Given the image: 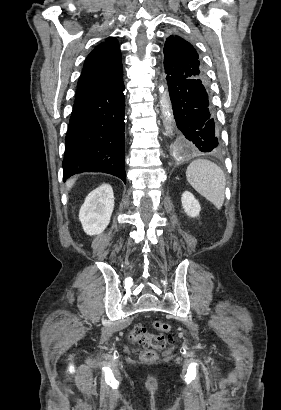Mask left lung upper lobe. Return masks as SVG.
Returning a JSON list of instances; mask_svg holds the SVG:
<instances>
[{
  "mask_svg": "<svg viewBox=\"0 0 281 410\" xmlns=\"http://www.w3.org/2000/svg\"><path fill=\"white\" fill-rule=\"evenodd\" d=\"M164 72L179 79L206 80L205 71L194 47L177 35H170L164 46Z\"/></svg>",
  "mask_w": 281,
  "mask_h": 410,
  "instance_id": "5c2ea615",
  "label": "left lung upper lobe"
}]
</instances>
